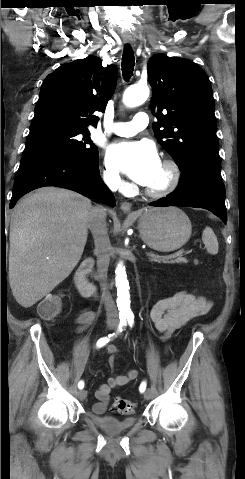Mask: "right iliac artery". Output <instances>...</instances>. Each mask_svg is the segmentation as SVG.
<instances>
[{"label":"right iliac artery","mask_w":245,"mask_h":479,"mask_svg":"<svg viewBox=\"0 0 245 479\" xmlns=\"http://www.w3.org/2000/svg\"><path fill=\"white\" fill-rule=\"evenodd\" d=\"M120 323H119V326H118V329H117V332L116 333H112V334H109L107 337H103V338H100L98 341H97V347H102L104 345H106L110 340H112L113 338L117 337V335L119 333H121L124 329H125V326L127 324V317L125 316H120ZM78 388L79 389H83L84 388V382L83 381H80L78 383Z\"/></svg>","instance_id":"1"}]
</instances>
